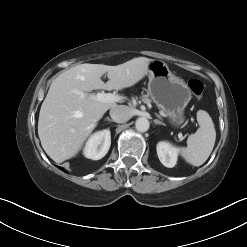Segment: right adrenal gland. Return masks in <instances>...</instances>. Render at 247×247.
<instances>
[{
	"label": "right adrenal gland",
	"instance_id": "right-adrenal-gland-1",
	"mask_svg": "<svg viewBox=\"0 0 247 247\" xmlns=\"http://www.w3.org/2000/svg\"><path fill=\"white\" fill-rule=\"evenodd\" d=\"M105 120L108 122H113V120H111L109 117H106Z\"/></svg>",
	"mask_w": 247,
	"mask_h": 247
}]
</instances>
